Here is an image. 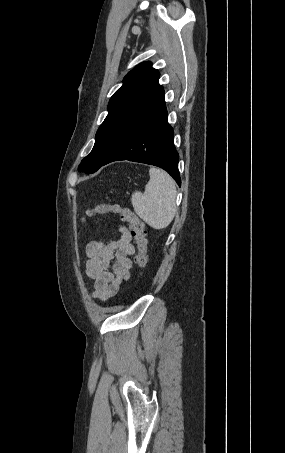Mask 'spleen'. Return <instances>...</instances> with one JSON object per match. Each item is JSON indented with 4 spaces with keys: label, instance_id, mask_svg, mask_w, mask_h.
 Here are the masks:
<instances>
[{
    "label": "spleen",
    "instance_id": "spleen-1",
    "mask_svg": "<svg viewBox=\"0 0 285 453\" xmlns=\"http://www.w3.org/2000/svg\"><path fill=\"white\" fill-rule=\"evenodd\" d=\"M144 193L135 191L131 203L135 213L154 229H164L176 213V184L164 170L152 167Z\"/></svg>",
    "mask_w": 285,
    "mask_h": 453
}]
</instances>
